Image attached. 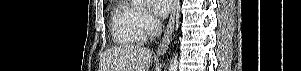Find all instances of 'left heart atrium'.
Segmentation results:
<instances>
[{
	"mask_svg": "<svg viewBox=\"0 0 301 71\" xmlns=\"http://www.w3.org/2000/svg\"><path fill=\"white\" fill-rule=\"evenodd\" d=\"M153 11L159 16H165L171 8V0H151Z\"/></svg>",
	"mask_w": 301,
	"mask_h": 71,
	"instance_id": "1",
	"label": "left heart atrium"
}]
</instances>
